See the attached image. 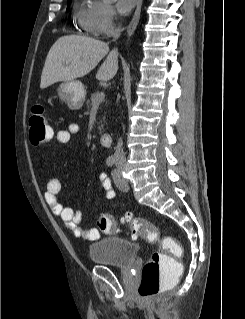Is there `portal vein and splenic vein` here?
I'll use <instances>...</instances> for the list:
<instances>
[{
  "label": "portal vein and splenic vein",
  "mask_w": 245,
  "mask_h": 319,
  "mask_svg": "<svg viewBox=\"0 0 245 319\" xmlns=\"http://www.w3.org/2000/svg\"><path fill=\"white\" fill-rule=\"evenodd\" d=\"M105 98V93L104 91H101L93 101V106H98Z\"/></svg>",
  "instance_id": "portal-vein-and-splenic-vein-1"
}]
</instances>
